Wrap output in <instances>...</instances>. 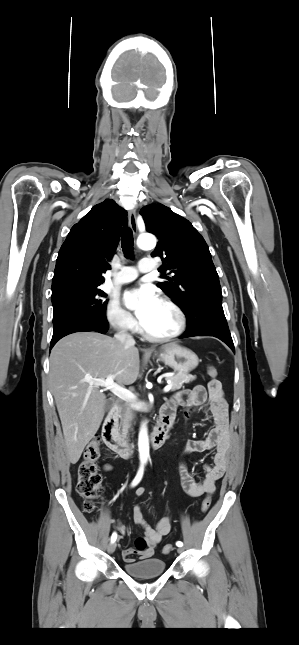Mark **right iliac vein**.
I'll return each mask as SVG.
<instances>
[{
    "label": "right iliac vein",
    "mask_w": 299,
    "mask_h": 645,
    "mask_svg": "<svg viewBox=\"0 0 299 645\" xmlns=\"http://www.w3.org/2000/svg\"><path fill=\"white\" fill-rule=\"evenodd\" d=\"M115 549H116V543L114 542L110 543L108 546V552L112 554L115 551Z\"/></svg>",
    "instance_id": "obj_1"
}]
</instances>
